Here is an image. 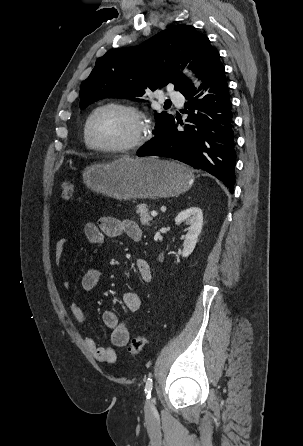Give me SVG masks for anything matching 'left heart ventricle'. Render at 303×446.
I'll list each match as a JSON object with an SVG mask.
<instances>
[{
	"label": "left heart ventricle",
	"instance_id": "1",
	"mask_svg": "<svg viewBox=\"0 0 303 446\" xmlns=\"http://www.w3.org/2000/svg\"><path fill=\"white\" fill-rule=\"evenodd\" d=\"M137 131L135 119L117 109L99 112L90 127L92 140L100 146H119L129 142Z\"/></svg>",
	"mask_w": 303,
	"mask_h": 446
}]
</instances>
